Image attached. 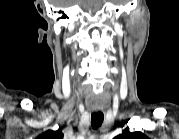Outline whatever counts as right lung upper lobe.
Returning a JSON list of instances; mask_svg holds the SVG:
<instances>
[{
	"instance_id": "1",
	"label": "right lung upper lobe",
	"mask_w": 179,
	"mask_h": 139,
	"mask_svg": "<svg viewBox=\"0 0 179 139\" xmlns=\"http://www.w3.org/2000/svg\"><path fill=\"white\" fill-rule=\"evenodd\" d=\"M62 138H63V133L61 132L60 129L57 131L48 130L38 137V139H62Z\"/></svg>"
}]
</instances>
